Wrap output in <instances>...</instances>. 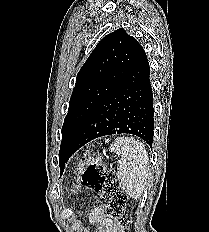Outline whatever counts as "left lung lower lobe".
<instances>
[{"instance_id":"1","label":"left lung lower lobe","mask_w":209,"mask_h":232,"mask_svg":"<svg viewBox=\"0 0 209 232\" xmlns=\"http://www.w3.org/2000/svg\"><path fill=\"white\" fill-rule=\"evenodd\" d=\"M123 133L136 135L152 147L153 92L149 62L141 45L123 80L91 111L75 132L69 156L98 137Z\"/></svg>"}]
</instances>
